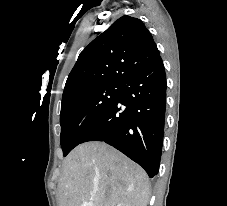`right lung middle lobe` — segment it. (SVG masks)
I'll use <instances>...</instances> for the list:
<instances>
[{
    "label": "right lung middle lobe",
    "mask_w": 227,
    "mask_h": 206,
    "mask_svg": "<svg viewBox=\"0 0 227 206\" xmlns=\"http://www.w3.org/2000/svg\"><path fill=\"white\" fill-rule=\"evenodd\" d=\"M121 83H107L81 90L62 100L61 147L66 156L80 144L121 93Z\"/></svg>",
    "instance_id": "right-lung-middle-lobe-1"
}]
</instances>
